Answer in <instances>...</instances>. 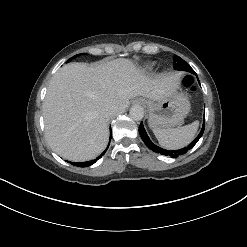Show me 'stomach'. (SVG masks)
Masks as SVG:
<instances>
[{"instance_id": "obj_1", "label": "stomach", "mask_w": 247, "mask_h": 247, "mask_svg": "<svg viewBox=\"0 0 247 247\" xmlns=\"http://www.w3.org/2000/svg\"><path fill=\"white\" fill-rule=\"evenodd\" d=\"M149 113V126L152 129L171 128L181 125L190 112L187 96L175 88L162 100L139 99Z\"/></svg>"}]
</instances>
